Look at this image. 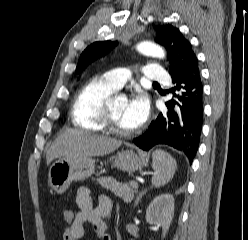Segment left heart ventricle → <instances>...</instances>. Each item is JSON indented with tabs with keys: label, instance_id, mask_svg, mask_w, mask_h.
I'll use <instances>...</instances> for the list:
<instances>
[{
	"label": "left heart ventricle",
	"instance_id": "obj_1",
	"mask_svg": "<svg viewBox=\"0 0 248 240\" xmlns=\"http://www.w3.org/2000/svg\"><path fill=\"white\" fill-rule=\"evenodd\" d=\"M127 98H118L114 100L110 105V112L117 124V126L123 130H132V126L127 122L125 118L126 109L128 106Z\"/></svg>",
	"mask_w": 248,
	"mask_h": 240
}]
</instances>
